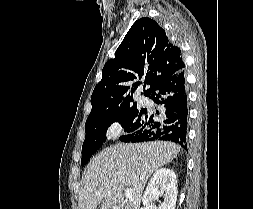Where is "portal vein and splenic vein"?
Instances as JSON below:
<instances>
[{"label": "portal vein and splenic vein", "instance_id": "1", "mask_svg": "<svg viewBox=\"0 0 253 209\" xmlns=\"http://www.w3.org/2000/svg\"><path fill=\"white\" fill-rule=\"evenodd\" d=\"M132 194H133V192H132V190L130 188H127L125 190V196H126V198H132Z\"/></svg>", "mask_w": 253, "mask_h": 209}]
</instances>
